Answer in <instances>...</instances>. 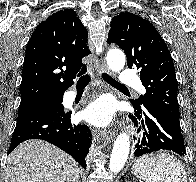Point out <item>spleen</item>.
Returning <instances> with one entry per match:
<instances>
[{
    "mask_svg": "<svg viewBox=\"0 0 196 182\" xmlns=\"http://www.w3.org/2000/svg\"><path fill=\"white\" fill-rule=\"evenodd\" d=\"M132 170L145 182H187L183 164L168 153L144 155L136 160Z\"/></svg>",
    "mask_w": 196,
    "mask_h": 182,
    "instance_id": "3e777b00",
    "label": "spleen"
}]
</instances>
